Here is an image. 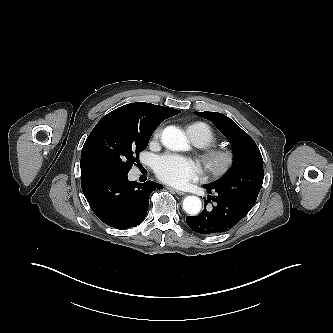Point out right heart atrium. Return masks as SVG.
<instances>
[{"instance_id": "obj_1", "label": "right heart atrium", "mask_w": 333, "mask_h": 333, "mask_svg": "<svg viewBox=\"0 0 333 333\" xmlns=\"http://www.w3.org/2000/svg\"><path fill=\"white\" fill-rule=\"evenodd\" d=\"M159 135H160V130L157 129V130L155 131V133H154V138H158Z\"/></svg>"}]
</instances>
